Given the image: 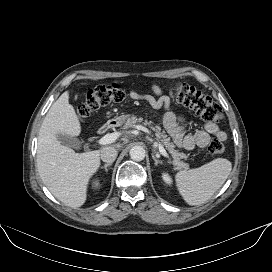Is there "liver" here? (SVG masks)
<instances>
[{
	"instance_id": "1",
	"label": "liver",
	"mask_w": 272,
	"mask_h": 272,
	"mask_svg": "<svg viewBox=\"0 0 272 272\" xmlns=\"http://www.w3.org/2000/svg\"><path fill=\"white\" fill-rule=\"evenodd\" d=\"M80 132L78 116L66 91L53 103L42 122L36 161L43 183L55 198L71 208L85 203L89 181L100 166V150L76 153L57 139L59 134L75 137Z\"/></svg>"
}]
</instances>
